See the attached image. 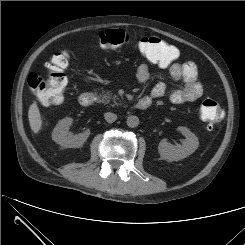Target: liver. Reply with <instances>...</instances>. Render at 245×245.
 <instances>
[{"mask_svg": "<svg viewBox=\"0 0 245 245\" xmlns=\"http://www.w3.org/2000/svg\"><path fill=\"white\" fill-rule=\"evenodd\" d=\"M28 119H29L31 130L35 134L39 133V131L42 128L43 122H42L41 114H40L36 101H34L29 107Z\"/></svg>", "mask_w": 245, "mask_h": 245, "instance_id": "liver-1", "label": "liver"}]
</instances>
